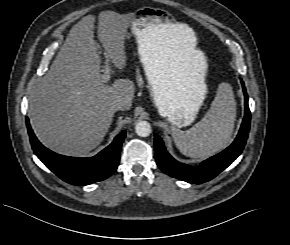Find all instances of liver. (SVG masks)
Returning <instances> with one entry per match:
<instances>
[{"label": "liver", "mask_w": 290, "mask_h": 245, "mask_svg": "<svg viewBox=\"0 0 290 245\" xmlns=\"http://www.w3.org/2000/svg\"><path fill=\"white\" fill-rule=\"evenodd\" d=\"M130 17L113 12L99 14L98 37L115 67L126 66L125 37ZM95 17H83L70 30L50 69L35 88L29 105V119L38 139L53 151L68 156H83L97 147L111 125V105L120 101L130 110L135 85L117 79L111 86L101 80V54L94 40ZM165 36L175 58L189 66L194 43L185 25L164 26Z\"/></svg>", "instance_id": "liver-1"}]
</instances>
